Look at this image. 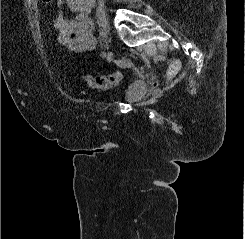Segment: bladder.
I'll return each mask as SVG.
<instances>
[{
	"mask_svg": "<svg viewBox=\"0 0 245 239\" xmlns=\"http://www.w3.org/2000/svg\"><path fill=\"white\" fill-rule=\"evenodd\" d=\"M149 90V85L133 83L126 87L123 98L127 103H138L142 101Z\"/></svg>",
	"mask_w": 245,
	"mask_h": 239,
	"instance_id": "31cf9c89",
	"label": "bladder"
}]
</instances>
